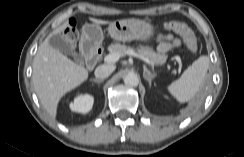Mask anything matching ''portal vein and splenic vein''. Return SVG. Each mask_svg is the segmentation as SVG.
I'll use <instances>...</instances> for the list:
<instances>
[{
    "label": "portal vein and splenic vein",
    "mask_w": 244,
    "mask_h": 157,
    "mask_svg": "<svg viewBox=\"0 0 244 157\" xmlns=\"http://www.w3.org/2000/svg\"><path fill=\"white\" fill-rule=\"evenodd\" d=\"M126 53L130 56H134L136 58H139L148 64L154 65V63L149 58H147L144 55L138 54L135 51L130 50V51H127ZM119 58H120V55L118 53L109 54V55L104 57V62L105 63H115L119 60ZM176 60L178 61V64H179V71H181V68H182L181 59L179 57H176Z\"/></svg>",
    "instance_id": "obj_1"
}]
</instances>
